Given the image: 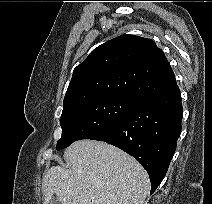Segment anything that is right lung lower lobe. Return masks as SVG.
<instances>
[{"label": "right lung lower lobe", "instance_id": "98d812e1", "mask_svg": "<svg viewBox=\"0 0 212 204\" xmlns=\"http://www.w3.org/2000/svg\"><path fill=\"white\" fill-rule=\"evenodd\" d=\"M183 109L177 84L146 97L118 124L91 139L112 144L146 169L152 194L168 170L181 133Z\"/></svg>", "mask_w": 212, "mask_h": 204}]
</instances>
